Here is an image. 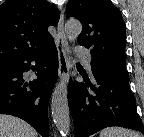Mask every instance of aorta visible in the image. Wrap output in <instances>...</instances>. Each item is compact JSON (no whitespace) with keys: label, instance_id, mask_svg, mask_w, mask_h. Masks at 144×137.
Instances as JSON below:
<instances>
[{"label":"aorta","instance_id":"1","mask_svg":"<svg viewBox=\"0 0 144 137\" xmlns=\"http://www.w3.org/2000/svg\"><path fill=\"white\" fill-rule=\"evenodd\" d=\"M82 31L78 20H68L65 24V33L69 41H75ZM68 89L66 80L56 84L51 97V112L53 121L60 133L66 136L70 132V111L68 106Z\"/></svg>","mask_w":144,"mask_h":137}]
</instances>
